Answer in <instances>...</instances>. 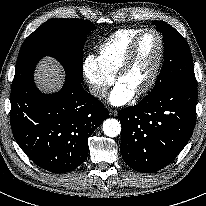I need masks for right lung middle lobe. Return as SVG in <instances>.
Returning a JSON list of instances; mask_svg holds the SVG:
<instances>
[{"label":"right lung middle lobe","mask_w":206,"mask_h":206,"mask_svg":"<svg viewBox=\"0 0 206 206\" xmlns=\"http://www.w3.org/2000/svg\"><path fill=\"white\" fill-rule=\"evenodd\" d=\"M94 29L91 22L81 19H50L43 23L22 44L11 90L31 78L36 64L46 55L56 58L67 76L81 82L84 42Z\"/></svg>","instance_id":"1"}]
</instances>
